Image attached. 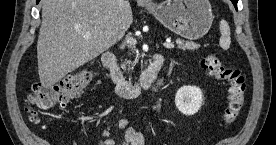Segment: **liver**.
<instances>
[{"label": "liver", "mask_w": 276, "mask_h": 145, "mask_svg": "<svg viewBox=\"0 0 276 145\" xmlns=\"http://www.w3.org/2000/svg\"><path fill=\"white\" fill-rule=\"evenodd\" d=\"M133 22L118 0H43L37 42L38 74L50 88L68 73L108 50ZM91 32L86 39L83 34Z\"/></svg>", "instance_id": "obj_1"}]
</instances>
